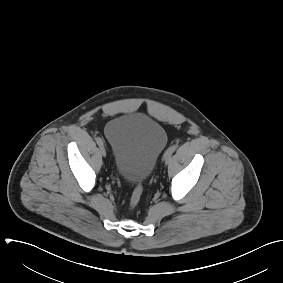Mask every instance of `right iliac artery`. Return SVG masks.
<instances>
[{
	"label": "right iliac artery",
	"mask_w": 283,
	"mask_h": 283,
	"mask_svg": "<svg viewBox=\"0 0 283 283\" xmlns=\"http://www.w3.org/2000/svg\"><path fill=\"white\" fill-rule=\"evenodd\" d=\"M96 142H97V144H98L100 147L104 145V142H103V140H102L100 137H97V138H96Z\"/></svg>",
	"instance_id": "82829eb1"
}]
</instances>
